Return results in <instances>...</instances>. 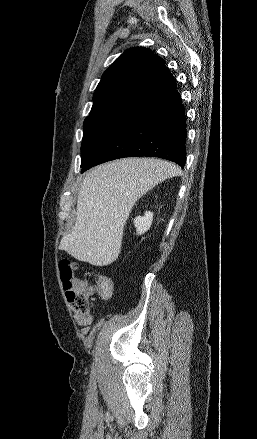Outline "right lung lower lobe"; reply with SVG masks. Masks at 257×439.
Returning <instances> with one entry per match:
<instances>
[{
    "mask_svg": "<svg viewBox=\"0 0 257 439\" xmlns=\"http://www.w3.org/2000/svg\"><path fill=\"white\" fill-rule=\"evenodd\" d=\"M186 122L175 89L126 118L82 167L81 172L106 161L137 156L159 157L184 168Z\"/></svg>",
    "mask_w": 257,
    "mask_h": 439,
    "instance_id": "obj_1",
    "label": "right lung lower lobe"
}]
</instances>
